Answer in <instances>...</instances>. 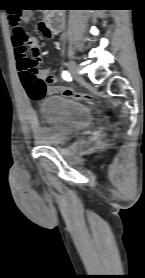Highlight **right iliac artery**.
<instances>
[{
	"label": "right iliac artery",
	"instance_id": "82829eb1",
	"mask_svg": "<svg viewBox=\"0 0 145 278\" xmlns=\"http://www.w3.org/2000/svg\"><path fill=\"white\" fill-rule=\"evenodd\" d=\"M62 78L66 81H71L72 80L71 75L68 71H63Z\"/></svg>",
	"mask_w": 145,
	"mask_h": 278
}]
</instances>
